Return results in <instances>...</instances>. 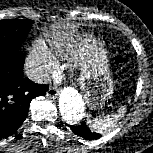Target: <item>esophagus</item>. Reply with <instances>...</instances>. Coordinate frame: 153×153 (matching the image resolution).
Returning a JSON list of instances; mask_svg holds the SVG:
<instances>
[{
  "label": "esophagus",
  "mask_w": 153,
  "mask_h": 153,
  "mask_svg": "<svg viewBox=\"0 0 153 153\" xmlns=\"http://www.w3.org/2000/svg\"><path fill=\"white\" fill-rule=\"evenodd\" d=\"M47 96H49L51 98H57L58 91H57L56 87H50L47 91Z\"/></svg>",
  "instance_id": "1"
}]
</instances>
